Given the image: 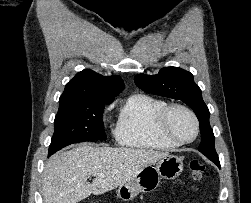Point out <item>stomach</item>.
Masks as SVG:
<instances>
[{"mask_svg":"<svg viewBox=\"0 0 251 203\" xmlns=\"http://www.w3.org/2000/svg\"><path fill=\"white\" fill-rule=\"evenodd\" d=\"M182 171V159L168 155L158 160L156 164L142 169L132 181L119 186L117 195L123 201L133 200L141 192L155 190L161 179H175Z\"/></svg>","mask_w":251,"mask_h":203,"instance_id":"stomach-1","label":"stomach"}]
</instances>
